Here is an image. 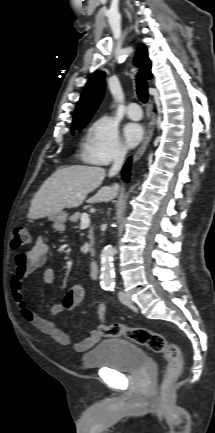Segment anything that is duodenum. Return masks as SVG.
<instances>
[{
  "label": "duodenum",
  "mask_w": 215,
  "mask_h": 433,
  "mask_svg": "<svg viewBox=\"0 0 215 433\" xmlns=\"http://www.w3.org/2000/svg\"><path fill=\"white\" fill-rule=\"evenodd\" d=\"M90 275L93 279L97 280L99 278V266L96 262H91L89 264Z\"/></svg>",
  "instance_id": "410a0bca"
}]
</instances>
